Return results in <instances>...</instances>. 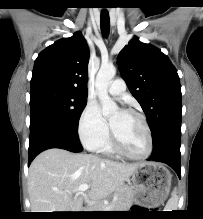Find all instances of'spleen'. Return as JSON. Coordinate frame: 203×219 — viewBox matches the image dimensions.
I'll use <instances>...</instances> for the list:
<instances>
[{"label": "spleen", "mask_w": 203, "mask_h": 219, "mask_svg": "<svg viewBox=\"0 0 203 219\" xmlns=\"http://www.w3.org/2000/svg\"><path fill=\"white\" fill-rule=\"evenodd\" d=\"M177 202H178L177 190L174 189V191L171 194V198L168 200L165 207L167 211L177 210Z\"/></svg>", "instance_id": "obj_1"}]
</instances>
